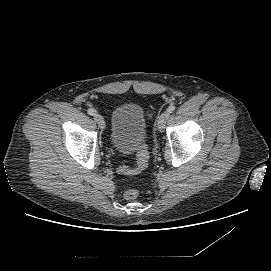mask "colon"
<instances>
[{
    "mask_svg": "<svg viewBox=\"0 0 271 271\" xmlns=\"http://www.w3.org/2000/svg\"><path fill=\"white\" fill-rule=\"evenodd\" d=\"M137 156H138L137 166L135 168H130V167L124 165L119 168V171L124 174H132V173H136V172L144 169L147 166V162H148V158H149L148 152L144 148H142L138 152ZM124 196L127 200H135L138 198L139 192L135 188H128L124 192Z\"/></svg>",
    "mask_w": 271,
    "mask_h": 271,
    "instance_id": "1",
    "label": "colon"
}]
</instances>
